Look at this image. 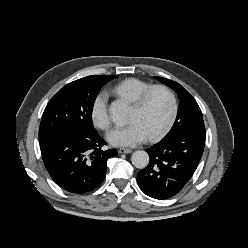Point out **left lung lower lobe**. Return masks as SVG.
Segmentation results:
<instances>
[{
  "label": "left lung lower lobe",
  "instance_id": "1",
  "mask_svg": "<svg viewBox=\"0 0 248 248\" xmlns=\"http://www.w3.org/2000/svg\"><path fill=\"white\" fill-rule=\"evenodd\" d=\"M205 139L203 134L179 133L148 148L150 162L137 175L140 189L155 199L176 195L193 176L204 151Z\"/></svg>",
  "mask_w": 248,
  "mask_h": 248
}]
</instances>
